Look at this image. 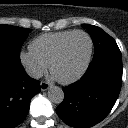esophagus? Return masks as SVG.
<instances>
[{
    "label": "esophagus",
    "instance_id": "1",
    "mask_svg": "<svg viewBox=\"0 0 128 128\" xmlns=\"http://www.w3.org/2000/svg\"><path fill=\"white\" fill-rule=\"evenodd\" d=\"M40 87H41V90H42V91H46V90L49 89L50 84L47 83V82H45V81H42V82L40 83Z\"/></svg>",
    "mask_w": 128,
    "mask_h": 128
}]
</instances>
